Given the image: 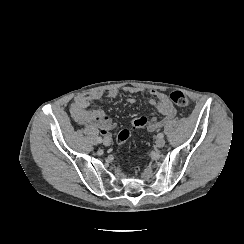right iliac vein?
<instances>
[{"instance_id": "63e3f726", "label": "right iliac vein", "mask_w": 244, "mask_h": 244, "mask_svg": "<svg viewBox=\"0 0 244 244\" xmlns=\"http://www.w3.org/2000/svg\"><path fill=\"white\" fill-rule=\"evenodd\" d=\"M111 142H112L111 138H109V137H105L104 140H103V144L105 146H109L111 144Z\"/></svg>"}]
</instances>
